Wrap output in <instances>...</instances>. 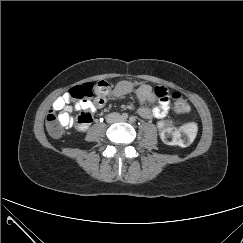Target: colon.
<instances>
[{
	"mask_svg": "<svg viewBox=\"0 0 243 243\" xmlns=\"http://www.w3.org/2000/svg\"><path fill=\"white\" fill-rule=\"evenodd\" d=\"M111 90V86L107 81L101 80L96 84L84 83L72 87L68 94L71 99L85 101L91 99L94 95H106ZM154 93L159 100L173 99V110L176 114H186L190 111V105L187 100L177 92L169 93L168 89L157 86ZM92 122V114L89 111L82 112L77 121L79 129L89 125ZM46 127L49 134L53 137H59L63 132V125L54 109L50 110L46 117ZM160 136L162 140L171 145H189L195 138L197 126L194 122L188 121L176 128L169 121H161L158 124Z\"/></svg>",
	"mask_w": 243,
	"mask_h": 243,
	"instance_id": "colon-1",
	"label": "colon"
}]
</instances>
